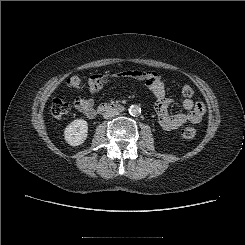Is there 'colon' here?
<instances>
[{"mask_svg": "<svg viewBox=\"0 0 245 245\" xmlns=\"http://www.w3.org/2000/svg\"><path fill=\"white\" fill-rule=\"evenodd\" d=\"M67 85L73 90H82L84 87L83 78L80 74H73L67 79ZM98 85V83L96 84ZM182 95L185 98H190L194 94V90L189 85L183 86L181 90ZM69 106L68 104L59 98H56L52 101L51 104V113L55 117H61L68 113ZM196 130L193 127H186L182 130V136L186 139H191L195 136Z\"/></svg>", "mask_w": 245, "mask_h": 245, "instance_id": "colon-1", "label": "colon"}]
</instances>
